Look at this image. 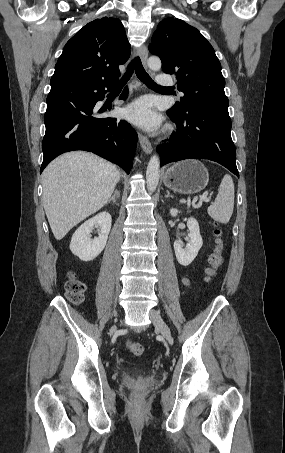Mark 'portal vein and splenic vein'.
I'll return each mask as SVG.
<instances>
[{
  "label": "portal vein and splenic vein",
  "mask_w": 285,
  "mask_h": 453,
  "mask_svg": "<svg viewBox=\"0 0 285 453\" xmlns=\"http://www.w3.org/2000/svg\"><path fill=\"white\" fill-rule=\"evenodd\" d=\"M207 192L205 194L202 195V197L200 198V202H209L210 201V197H207Z\"/></svg>",
  "instance_id": "18ae733b"
}]
</instances>
